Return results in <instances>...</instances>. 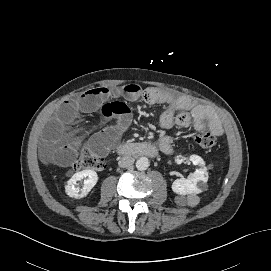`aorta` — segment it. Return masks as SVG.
Wrapping results in <instances>:
<instances>
[{
  "label": "aorta",
  "mask_w": 271,
  "mask_h": 271,
  "mask_svg": "<svg viewBox=\"0 0 271 271\" xmlns=\"http://www.w3.org/2000/svg\"><path fill=\"white\" fill-rule=\"evenodd\" d=\"M149 160L146 157H140L136 161V168L140 171H145L149 167Z\"/></svg>",
  "instance_id": "obj_1"
}]
</instances>
